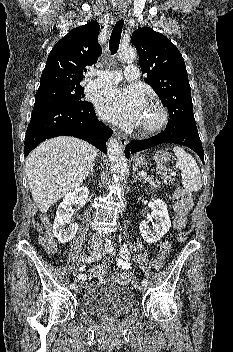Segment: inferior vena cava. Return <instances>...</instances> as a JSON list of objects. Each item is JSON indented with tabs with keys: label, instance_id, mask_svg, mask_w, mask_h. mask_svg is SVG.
Instances as JSON below:
<instances>
[{
	"label": "inferior vena cava",
	"instance_id": "inferior-vena-cava-1",
	"mask_svg": "<svg viewBox=\"0 0 233 352\" xmlns=\"http://www.w3.org/2000/svg\"><path fill=\"white\" fill-rule=\"evenodd\" d=\"M90 242L91 244H101V236L98 234L93 235Z\"/></svg>",
	"mask_w": 233,
	"mask_h": 352
}]
</instances>
